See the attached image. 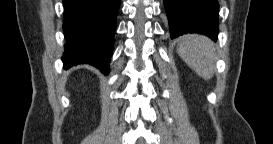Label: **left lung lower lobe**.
I'll return each instance as SVG.
<instances>
[{
    "mask_svg": "<svg viewBox=\"0 0 273 144\" xmlns=\"http://www.w3.org/2000/svg\"><path fill=\"white\" fill-rule=\"evenodd\" d=\"M164 5L171 39L186 33H200L217 40V0H164Z\"/></svg>",
    "mask_w": 273,
    "mask_h": 144,
    "instance_id": "1",
    "label": "left lung lower lobe"
}]
</instances>
